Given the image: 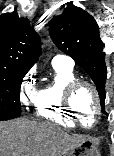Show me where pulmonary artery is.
<instances>
[{"mask_svg": "<svg viewBox=\"0 0 114 156\" xmlns=\"http://www.w3.org/2000/svg\"><path fill=\"white\" fill-rule=\"evenodd\" d=\"M52 65H63L67 67H73L74 61L71 57L64 54H57L52 59Z\"/></svg>", "mask_w": 114, "mask_h": 156, "instance_id": "obj_1", "label": "pulmonary artery"}]
</instances>
